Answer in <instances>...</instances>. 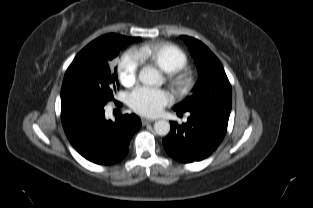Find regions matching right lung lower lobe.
Returning <instances> with one entry per match:
<instances>
[{
  "mask_svg": "<svg viewBox=\"0 0 313 208\" xmlns=\"http://www.w3.org/2000/svg\"><path fill=\"white\" fill-rule=\"evenodd\" d=\"M106 103L73 87L61 90V120L68 140L83 157L99 165L122 160L141 127L135 114L120 115L115 122L106 120Z\"/></svg>",
  "mask_w": 313,
  "mask_h": 208,
  "instance_id": "1",
  "label": "right lung lower lobe"
}]
</instances>
